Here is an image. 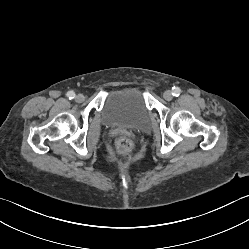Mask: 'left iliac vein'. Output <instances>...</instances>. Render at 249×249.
Wrapping results in <instances>:
<instances>
[{
	"label": "left iliac vein",
	"mask_w": 249,
	"mask_h": 249,
	"mask_svg": "<svg viewBox=\"0 0 249 249\" xmlns=\"http://www.w3.org/2000/svg\"><path fill=\"white\" fill-rule=\"evenodd\" d=\"M163 97L165 100L170 101V100H172L173 95H172L171 91H165L163 94Z\"/></svg>",
	"instance_id": "left-iliac-vein-1"
}]
</instances>
